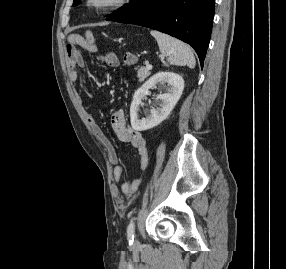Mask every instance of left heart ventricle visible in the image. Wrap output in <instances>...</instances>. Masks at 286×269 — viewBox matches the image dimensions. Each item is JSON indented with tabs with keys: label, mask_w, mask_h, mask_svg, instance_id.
Instances as JSON below:
<instances>
[{
	"label": "left heart ventricle",
	"mask_w": 286,
	"mask_h": 269,
	"mask_svg": "<svg viewBox=\"0 0 286 269\" xmlns=\"http://www.w3.org/2000/svg\"><path fill=\"white\" fill-rule=\"evenodd\" d=\"M99 1L104 2V1H108V0H99Z\"/></svg>",
	"instance_id": "1"
}]
</instances>
